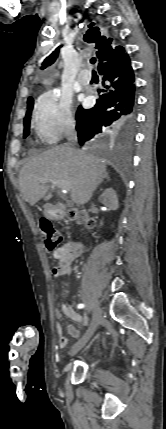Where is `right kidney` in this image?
Returning a JSON list of instances; mask_svg holds the SVG:
<instances>
[{
	"label": "right kidney",
	"instance_id": "obj_1",
	"mask_svg": "<svg viewBox=\"0 0 166 429\" xmlns=\"http://www.w3.org/2000/svg\"><path fill=\"white\" fill-rule=\"evenodd\" d=\"M99 201L113 211L117 210L119 207L118 197L113 188L105 189L100 195Z\"/></svg>",
	"mask_w": 166,
	"mask_h": 429
}]
</instances>
